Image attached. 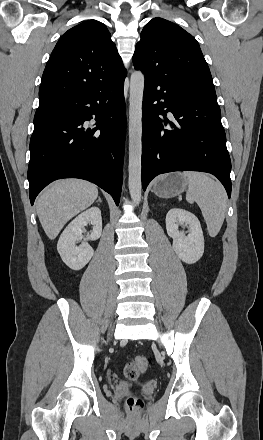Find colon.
<instances>
[{
	"mask_svg": "<svg viewBox=\"0 0 263 440\" xmlns=\"http://www.w3.org/2000/svg\"><path fill=\"white\" fill-rule=\"evenodd\" d=\"M151 358L145 355H138L134 359L127 363L124 367V376L131 381L139 378V376L145 373L151 366ZM125 408L130 413H138L143 409L144 402L140 397L130 396L125 401Z\"/></svg>",
	"mask_w": 263,
	"mask_h": 440,
	"instance_id": "obj_1",
	"label": "colon"
}]
</instances>
